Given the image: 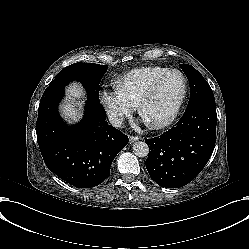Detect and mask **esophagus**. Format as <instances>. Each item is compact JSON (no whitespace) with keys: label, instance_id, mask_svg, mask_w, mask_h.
I'll list each match as a JSON object with an SVG mask.
<instances>
[{"label":"esophagus","instance_id":"1","mask_svg":"<svg viewBox=\"0 0 249 249\" xmlns=\"http://www.w3.org/2000/svg\"><path fill=\"white\" fill-rule=\"evenodd\" d=\"M140 139H141V137H139V136H130L129 143H133V142L138 141Z\"/></svg>","mask_w":249,"mask_h":249}]
</instances>
